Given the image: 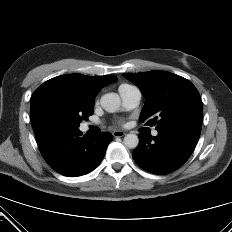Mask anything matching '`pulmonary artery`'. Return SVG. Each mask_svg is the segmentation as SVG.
Masks as SVG:
<instances>
[{
	"instance_id": "pulmonary-artery-1",
	"label": "pulmonary artery",
	"mask_w": 232,
	"mask_h": 232,
	"mask_svg": "<svg viewBox=\"0 0 232 232\" xmlns=\"http://www.w3.org/2000/svg\"><path fill=\"white\" fill-rule=\"evenodd\" d=\"M119 92L122 98L123 105L126 109H134L139 105L141 100V92L138 88L133 87L131 89L121 90ZM88 126L89 124L85 125L84 128L87 129ZM152 135L157 136L158 131L153 130Z\"/></svg>"
}]
</instances>
